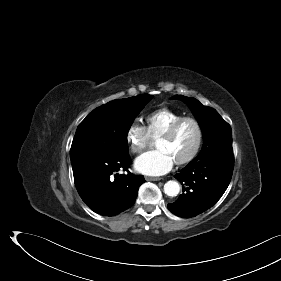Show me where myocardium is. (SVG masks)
Segmentation results:
<instances>
[{"label": "myocardium", "instance_id": "f54148a6", "mask_svg": "<svg viewBox=\"0 0 281 281\" xmlns=\"http://www.w3.org/2000/svg\"><path fill=\"white\" fill-rule=\"evenodd\" d=\"M187 121L194 123V125L196 126L197 141H196V144H195L193 150L191 151V153L189 155H187L186 157L175 162L177 165H185V164L190 163L191 161H193L196 158V156L198 155V153L201 149L204 134H203L202 125L199 122V120L192 116H182L181 118H179L175 122H173L169 126V128L158 138V140H161V139L167 140V139L172 138L175 135V133L177 132L178 128L184 122H187Z\"/></svg>", "mask_w": 281, "mask_h": 281}]
</instances>
